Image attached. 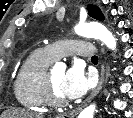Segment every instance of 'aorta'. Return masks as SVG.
I'll use <instances>...</instances> for the list:
<instances>
[{
  "instance_id": "obj_1",
  "label": "aorta",
  "mask_w": 133,
  "mask_h": 118,
  "mask_svg": "<svg viewBox=\"0 0 133 118\" xmlns=\"http://www.w3.org/2000/svg\"><path fill=\"white\" fill-rule=\"evenodd\" d=\"M75 32L77 35L87 38H94L102 41L109 49H116V39L112 33L102 24L97 22H87L79 24L75 27ZM56 69L64 68L62 64H56ZM96 111V105L91 104L83 109L78 118H94Z\"/></svg>"
}]
</instances>
